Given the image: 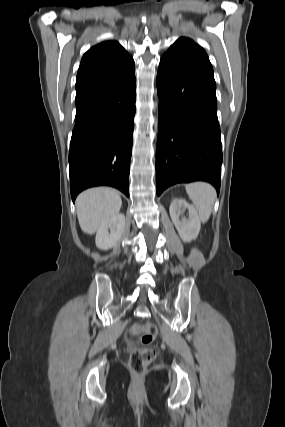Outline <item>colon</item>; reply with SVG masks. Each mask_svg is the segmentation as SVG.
<instances>
[{
    "label": "colon",
    "instance_id": "1",
    "mask_svg": "<svg viewBox=\"0 0 285 427\" xmlns=\"http://www.w3.org/2000/svg\"><path fill=\"white\" fill-rule=\"evenodd\" d=\"M133 332L138 335L142 347L133 350L129 357V368L135 375L141 376L146 372L147 366L154 360L155 350L148 347L157 334V329L152 323L146 322L138 324L133 328Z\"/></svg>",
    "mask_w": 285,
    "mask_h": 427
}]
</instances>
